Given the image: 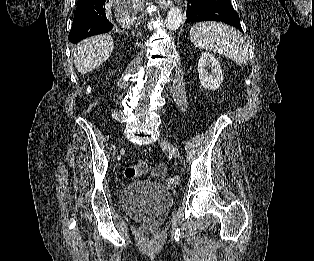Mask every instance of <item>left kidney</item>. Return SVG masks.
<instances>
[{
	"label": "left kidney",
	"instance_id": "1",
	"mask_svg": "<svg viewBox=\"0 0 314 261\" xmlns=\"http://www.w3.org/2000/svg\"><path fill=\"white\" fill-rule=\"evenodd\" d=\"M211 68L208 73L207 68ZM198 74L201 86L204 89L216 90L223 81V73L218 60L209 52L202 53L198 62Z\"/></svg>",
	"mask_w": 314,
	"mask_h": 261
}]
</instances>
